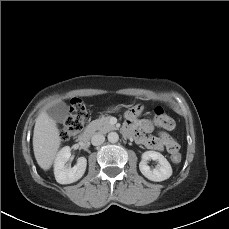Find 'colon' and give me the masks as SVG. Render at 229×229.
I'll use <instances>...</instances> for the list:
<instances>
[{"instance_id": "colon-1", "label": "colon", "mask_w": 229, "mask_h": 229, "mask_svg": "<svg viewBox=\"0 0 229 229\" xmlns=\"http://www.w3.org/2000/svg\"><path fill=\"white\" fill-rule=\"evenodd\" d=\"M87 118V111L84 102L79 98H74L69 106V115L64 124L61 126L60 135L63 140H70L75 136L81 134L85 129V122ZM163 123L168 127H174V121L165 116L162 118ZM166 149L172 154V161L174 163L181 162V155L178 153L179 146L175 142H168Z\"/></svg>"}]
</instances>
